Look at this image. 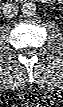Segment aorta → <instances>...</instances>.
<instances>
[{"label": "aorta", "instance_id": "1", "mask_svg": "<svg viewBox=\"0 0 63 107\" xmlns=\"http://www.w3.org/2000/svg\"><path fill=\"white\" fill-rule=\"evenodd\" d=\"M36 5L32 2H25L22 5L21 11L24 16H34L36 14Z\"/></svg>", "mask_w": 63, "mask_h": 107}]
</instances>
